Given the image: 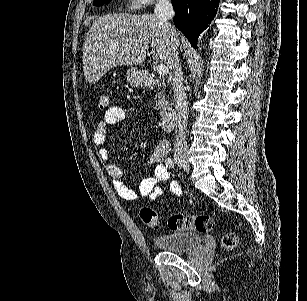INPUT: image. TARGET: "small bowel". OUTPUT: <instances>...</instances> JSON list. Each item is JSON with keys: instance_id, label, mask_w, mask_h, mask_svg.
<instances>
[{"instance_id": "1", "label": "small bowel", "mask_w": 307, "mask_h": 301, "mask_svg": "<svg viewBox=\"0 0 307 301\" xmlns=\"http://www.w3.org/2000/svg\"><path fill=\"white\" fill-rule=\"evenodd\" d=\"M131 110L122 106L110 107L93 132V142L102 160L106 162L108 175L112 178L114 189L121 198L129 201L135 200L138 197H148L150 200H156L165 190L161 184L169 179L168 167L164 164V160L169 152L167 142L159 143L153 150L148 162L155 165L154 172L151 176L141 181L138 192L127 187L122 180V169L110 162L107 149V128L120 124ZM168 189L176 197L182 194L181 187L177 182H171L168 185Z\"/></svg>"}]
</instances>
